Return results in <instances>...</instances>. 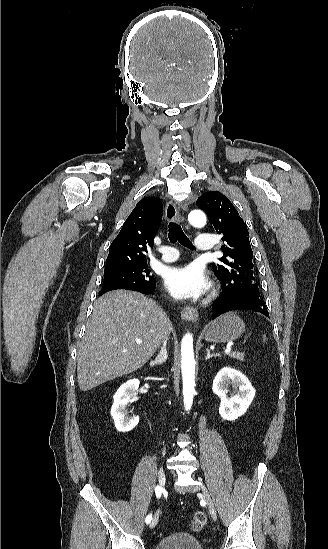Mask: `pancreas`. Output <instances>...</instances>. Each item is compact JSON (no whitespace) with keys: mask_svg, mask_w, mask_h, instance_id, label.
I'll return each mask as SVG.
<instances>
[{"mask_svg":"<svg viewBox=\"0 0 328 549\" xmlns=\"http://www.w3.org/2000/svg\"><path fill=\"white\" fill-rule=\"evenodd\" d=\"M228 357H232V359H238V361H244V355L245 353H237V351H233V353H226Z\"/></svg>","mask_w":328,"mask_h":549,"instance_id":"cf45deb5","label":"pancreas"}]
</instances>
